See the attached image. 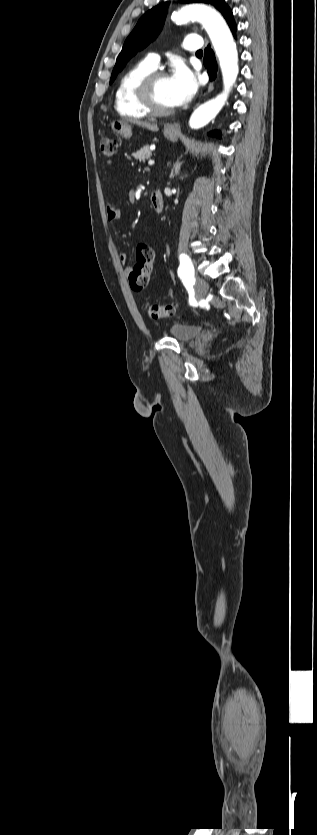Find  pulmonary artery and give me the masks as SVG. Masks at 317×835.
I'll use <instances>...</instances> for the list:
<instances>
[{
	"label": "pulmonary artery",
	"mask_w": 317,
	"mask_h": 835,
	"mask_svg": "<svg viewBox=\"0 0 317 835\" xmlns=\"http://www.w3.org/2000/svg\"><path fill=\"white\" fill-rule=\"evenodd\" d=\"M182 47L191 52L199 51L202 47L201 38L198 35H188L185 37ZM145 61L155 69L159 64L160 58L157 54L150 53Z\"/></svg>",
	"instance_id": "obj_1"
}]
</instances>
